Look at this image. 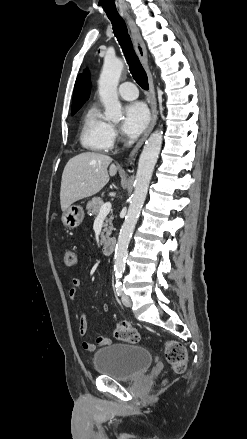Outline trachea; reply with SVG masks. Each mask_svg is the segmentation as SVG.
Returning a JSON list of instances; mask_svg holds the SVG:
<instances>
[{
    "mask_svg": "<svg viewBox=\"0 0 247 439\" xmlns=\"http://www.w3.org/2000/svg\"><path fill=\"white\" fill-rule=\"evenodd\" d=\"M113 26V32L123 50L126 61L129 65L130 73L134 80L143 88L148 90V77L142 67L138 57L136 56L127 27L123 19L119 16H108Z\"/></svg>",
    "mask_w": 247,
    "mask_h": 439,
    "instance_id": "3493384b",
    "label": "trachea"
}]
</instances>
